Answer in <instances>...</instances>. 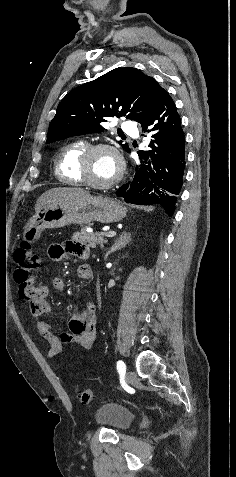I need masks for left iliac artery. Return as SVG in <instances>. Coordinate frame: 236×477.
I'll list each match as a JSON object with an SVG mask.
<instances>
[{
	"mask_svg": "<svg viewBox=\"0 0 236 477\" xmlns=\"http://www.w3.org/2000/svg\"><path fill=\"white\" fill-rule=\"evenodd\" d=\"M117 370H118L119 373H125L126 365L122 360H119L117 362Z\"/></svg>",
	"mask_w": 236,
	"mask_h": 477,
	"instance_id": "left-iliac-artery-1",
	"label": "left iliac artery"
}]
</instances>
